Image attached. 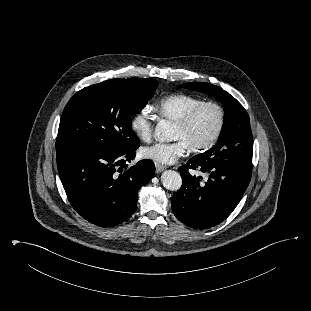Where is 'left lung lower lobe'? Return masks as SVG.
<instances>
[{"mask_svg":"<svg viewBox=\"0 0 311 311\" xmlns=\"http://www.w3.org/2000/svg\"><path fill=\"white\" fill-rule=\"evenodd\" d=\"M190 169L209 174L205 184L200 182L202 177L192 176ZM179 170L183 184L173 194V213L191 228L206 229L221 223L235 209L249 185L252 161H210L193 157Z\"/></svg>","mask_w":311,"mask_h":311,"instance_id":"left-lung-lower-lobe-1","label":"left lung lower lobe"}]
</instances>
